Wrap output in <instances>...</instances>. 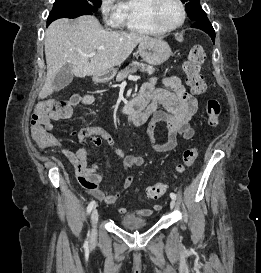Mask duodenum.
<instances>
[{"instance_id": "1", "label": "duodenum", "mask_w": 261, "mask_h": 273, "mask_svg": "<svg viewBox=\"0 0 261 273\" xmlns=\"http://www.w3.org/2000/svg\"><path fill=\"white\" fill-rule=\"evenodd\" d=\"M105 81L103 77L98 78L97 82L101 83ZM149 99L144 96H138L132 101L124 104L121 107V111L129 116L131 123L135 126H139L146 122L148 119L151 108L148 106Z\"/></svg>"}]
</instances>
